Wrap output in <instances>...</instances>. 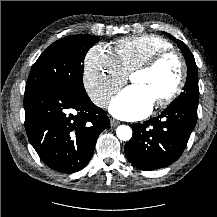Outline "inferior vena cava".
Masks as SVG:
<instances>
[{"label": "inferior vena cava", "instance_id": "602c4592", "mask_svg": "<svg viewBox=\"0 0 217 217\" xmlns=\"http://www.w3.org/2000/svg\"><path fill=\"white\" fill-rule=\"evenodd\" d=\"M109 96L107 94H101L93 99V103L97 106L104 107L108 102Z\"/></svg>", "mask_w": 217, "mask_h": 217}]
</instances>
